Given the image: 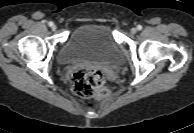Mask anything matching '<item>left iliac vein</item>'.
I'll use <instances>...</instances> for the list:
<instances>
[{
	"mask_svg": "<svg viewBox=\"0 0 194 133\" xmlns=\"http://www.w3.org/2000/svg\"><path fill=\"white\" fill-rule=\"evenodd\" d=\"M136 32H137V29H136V28H132V29H131V33H132V34H135Z\"/></svg>",
	"mask_w": 194,
	"mask_h": 133,
	"instance_id": "1",
	"label": "left iliac vein"
}]
</instances>
